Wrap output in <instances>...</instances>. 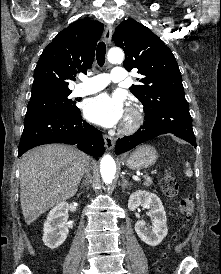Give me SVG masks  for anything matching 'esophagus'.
Here are the masks:
<instances>
[{
	"instance_id": "1",
	"label": "esophagus",
	"mask_w": 221,
	"mask_h": 274,
	"mask_svg": "<svg viewBox=\"0 0 221 274\" xmlns=\"http://www.w3.org/2000/svg\"><path fill=\"white\" fill-rule=\"evenodd\" d=\"M112 32H113V27L111 25H107L105 27L104 34H103V39H104L106 44L110 43L111 37H112ZM103 139H104V142H105V147L108 150H112L115 146V140L107 134L103 135Z\"/></svg>"
}]
</instances>
